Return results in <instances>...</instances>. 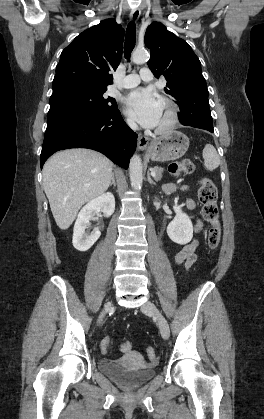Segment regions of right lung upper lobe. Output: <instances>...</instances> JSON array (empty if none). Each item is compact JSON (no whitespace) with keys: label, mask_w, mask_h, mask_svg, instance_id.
<instances>
[{"label":"right lung upper lobe","mask_w":264,"mask_h":419,"mask_svg":"<svg viewBox=\"0 0 264 419\" xmlns=\"http://www.w3.org/2000/svg\"><path fill=\"white\" fill-rule=\"evenodd\" d=\"M124 30L113 19H106L79 34L61 53L53 80V93L83 86L105 88L123 51Z\"/></svg>","instance_id":"obj_1"}]
</instances>
